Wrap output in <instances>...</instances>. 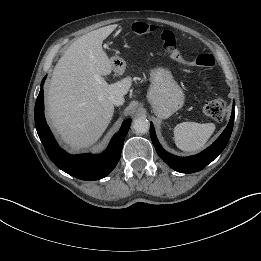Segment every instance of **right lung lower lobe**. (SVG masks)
I'll return each mask as SVG.
<instances>
[{"mask_svg":"<svg viewBox=\"0 0 261 261\" xmlns=\"http://www.w3.org/2000/svg\"><path fill=\"white\" fill-rule=\"evenodd\" d=\"M45 78L42 81L44 83ZM43 88L35 104V125L37 133L52 162L61 170L81 180H99L106 177L117 165L125 136L131 125V119L123 122L108 148L99 155H70L61 149L55 141L44 117Z\"/></svg>","mask_w":261,"mask_h":261,"instance_id":"right-lung-lower-lobe-1","label":"right lung lower lobe"}]
</instances>
